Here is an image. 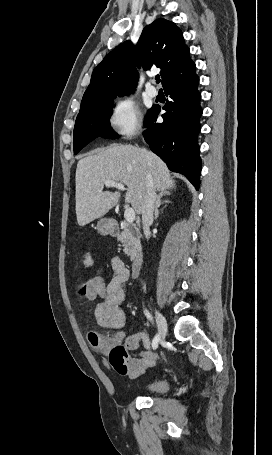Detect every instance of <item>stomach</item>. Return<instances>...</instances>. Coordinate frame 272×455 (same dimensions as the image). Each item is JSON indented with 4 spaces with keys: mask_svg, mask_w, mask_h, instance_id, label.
<instances>
[{
    "mask_svg": "<svg viewBox=\"0 0 272 455\" xmlns=\"http://www.w3.org/2000/svg\"><path fill=\"white\" fill-rule=\"evenodd\" d=\"M98 233L101 235H107L113 230V221L110 219H101L97 226Z\"/></svg>",
    "mask_w": 272,
    "mask_h": 455,
    "instance_id": "1",
    "label": "stomach"
}]
</instances>
